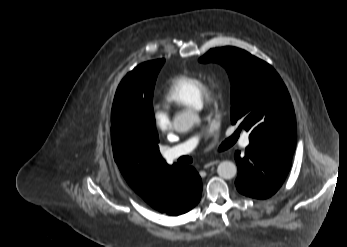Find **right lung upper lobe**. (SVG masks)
I'll use <instances>...</instances> for the list:
<instances>
[{
  "instance_id": "1",
  "label": "right lung upper lobe",
  "mask_w": 347,
  "mask_h": 247,
  "mask_svg": "<svg viewBox=\"0 0 347 247\" xmlns=\"http://www.w3.org/2000/svg\"><path fill=\"white\" fill-rule=\"evenodd\" d=\"M114 159L131 188L150 206L166 211L180 176L179 164L168 165L158 142H130L111 132Z\"/></svg>"
}]
</instances>
